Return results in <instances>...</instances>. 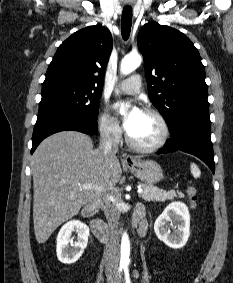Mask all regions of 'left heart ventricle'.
Returning <instances> with one entry per match:
<instances>
[{
  "label": "left heart ventricle",
  "instance_id": "b2bd125f",
  "mask_svg": "<svg viewBox=\"0 0 233 283\" xmlns=\"http://www.w3.org/2000/svg\"><path fill=\"white\" fill-rule=\"evenodd\" d=\"M128 133L137 143L152 145L161 138L162 128L155 116L142 111Z\"/></svg>",
  "mask_w": 233,
  "mask_h": 283
}]
</instances>
